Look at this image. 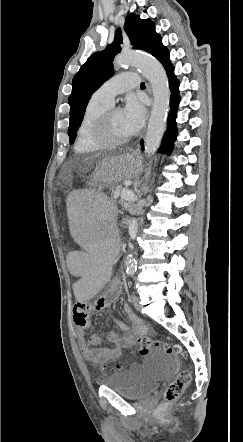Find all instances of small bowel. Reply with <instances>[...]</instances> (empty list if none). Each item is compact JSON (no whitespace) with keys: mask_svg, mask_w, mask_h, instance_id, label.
I'll return each mask as SVG.
<instances>
[{"mask_svg":"<svg viewBox=\"0 0 243 442\" xmlns=\"http://www.w3.org/2000/svg\"><path fill=\"white\" fill-rule=\"evenodd\" d=\"M120 285L113 281L101 301H98L93 308L87 302L79 301L73 308V319L77 326L76 336L80 350L88 361L93 364H103L118 359L123 350L132 347L135 344L136 337L145 331V326L141 319L136 316L129 306H125V313L132 323V328L121 320H114V324L123 334L110 332L107 335V341L110 346L101 347V338L93 335L90 339L86 338L85 329L90 323L91 311H100L104 306L112 304L120 294ZM84 322V323H81Z\"/></svg>","mask_w":243,"mask_h":442,"instance_id":"small-bowel-1","label":"small bowel"}]
</instances>
